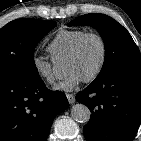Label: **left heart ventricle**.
Returning <instances> with one entry per match:
<instances>
[{
  "instance_id": "b2bd125f",
  "label": "left heart ventricle",
  "mask_w": 141,
  "mask_h": 141,
  "mask_svg": "<svg viewBox=\"0 0 141 141\" xmlns=\"http://www.w3.org/2000/svg\"><path fill=\"white\" fill-rule=\"evenodd\" d=\"M100 58L101 46L96 39L90 38L76 58L66 60L65 68L68 73L75 71L85 79L97 69Z\"/></svg>"
}]
</instances>
